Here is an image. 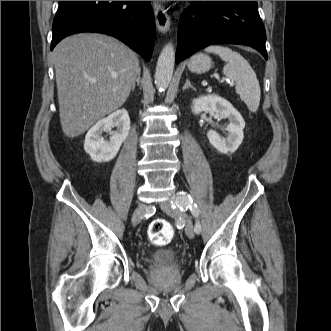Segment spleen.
<instances>
[{
    "instance_id": "obj_1",
    "label": "spleen",
    "mask_w": 331,
    "mask_h": 331,
    "mask_svg": "<svg viewBox=\"0 0 331 331\" xmlns=\"http://www.w3.org/2000/svg\"><path fill=\"white\" fill-rule=\"evenodd\" d=\"M205 51L219 55L226 62L223 74L236 82V92L248 109L256 112L260 103L261 90L256 74L248 61L226 46L211 45L206 47Z\"/></svg>"
}]
</instances>
